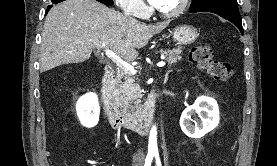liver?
I'll return each mask as SVG.
<instances>
[{"label":"liver","instance_id":"1","mask_svg":"<svg viewBox=\"0 0 277 166\" xmlns=\"http://www.w3.org/2000/svg\"><path fill=\"white\" fill-rule=\"evenodd\" d=\"M169 22L155 25L132 21L96 0H66L47 14L40 45V72L89 59L93 49H111L126 61L163 31Z\"/></svg>","mask_w":277,"mask_h":166}]
</instances>
